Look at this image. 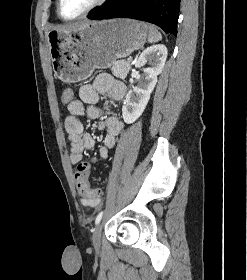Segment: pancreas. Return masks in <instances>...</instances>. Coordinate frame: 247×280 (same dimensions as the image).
<instances>
[{"label": "pancreas", "instance_id": "cf45deb5", "mask_svg": "<svg viewBox=\"0 0 247 280\" xmlns=\"http://www.w3.org/2000/svg\"><path fill=\"white\" fill-rule=\"evenodd\" d=\"M130 69L131 64L129 61L118 60L113 64L111 71L114 76L124 79L127 76Z\"/></svg>", "mask_w": 247, "mask_h": 280}]
</instances>
